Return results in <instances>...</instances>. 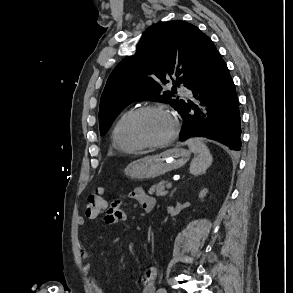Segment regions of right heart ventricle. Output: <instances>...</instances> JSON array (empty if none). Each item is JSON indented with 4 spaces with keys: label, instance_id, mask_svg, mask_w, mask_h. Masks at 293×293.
Returning <instances> with one entry per match:
<instances>
[{
    "label": "right heart ventricle",
    "instance_id": "1",
    "mask_svg": "<svg viewBox=\"0 0 293 293\" xmlns=\"http://www.w3.org/2000/svg\"><path fill=\"white\" fill-rule=\"evenodd\" d=\"M133 109L124 111L115 121L112 132H111V141L113 146L121 151L126 153H134L142 150V147L136 143H133L129 140L127 136V122L131 116Z\"/></svg>",
    "mask_w": 293,
    "mask_h": 293
}]
</instances>
